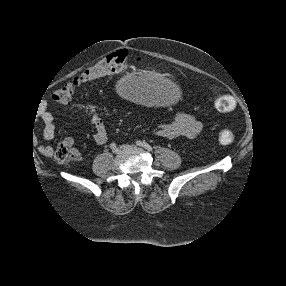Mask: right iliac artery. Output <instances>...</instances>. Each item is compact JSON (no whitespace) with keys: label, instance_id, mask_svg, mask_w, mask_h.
I'll return each instance as SVG.
<instances>
[{"label":"right iliac artery","instance_id":"right-iliac-artery-1","mask_svg":"<svg viewBox=\"0 0 286 286\" xmlns=\"http://www.w3.org/2000/svg\"><path fill=\"white\" fill-rule=\"evenodd\" d=\"M110 148H111V149H115V148H116V144H115V143H111V144H110Z\"/></svg>","mask_w":286,"mask_h":286}]
</instances>
